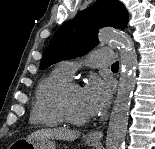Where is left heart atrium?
I'll return each instance as SVG.
<instances>
[{"instance_id":"1","label":"left heart atrium","mask_w":155,"mask_h":149,"mask_svg":"<svg viewBox=\"0 0 155 149\" xmlns=\"http://www.w3.org/2000/svg\"><path fill=\"white\" fill-rule=\"evenodd\" d=\"M112 86L108 82L93 77L81 88L82 103L88 117L102 113L109 105Z\"/></svg>"}]
</instances>
